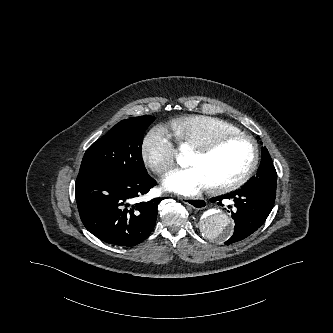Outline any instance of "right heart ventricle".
I'll use <instances>...</instances> for the list:
<instances>
[{
	"label": "right heart ventricle",
	"instance_id": "1",
	"mask_svg": "<svg viewBox=\"0 0 333 333\" xmlns=\"http://www.w3.org/2000/svg\"><path fill=\"white\" fill-rule=\"evenodd\" d=\"M168 127L179 146L192 149L219 134L240 132L228 122L205 115L179 117L172 120Z\"/></svg>",
	"mask_w": 333,
	"mask_h": 333
}]
</instances>
